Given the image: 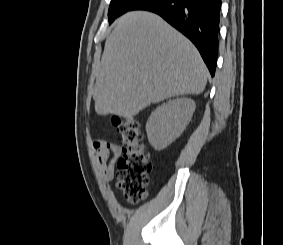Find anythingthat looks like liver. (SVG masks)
<instances>
[{"label": "liver", "instance_id": "obj_1", "mask_svg": "<svg viewBox=\"0 0 283 245\" xmlns=\"http://www.w3.org/2000/svg\"><path fill=\"white\" fill-rule=\"evenodd\" d=\"M208 71L195 46L161 17L132 11L105 42L93 98L99 115L131 119L151 103L200 94Z\"/></svg>", "mask_w": 283, "mask_h": 245}]
</instances>
